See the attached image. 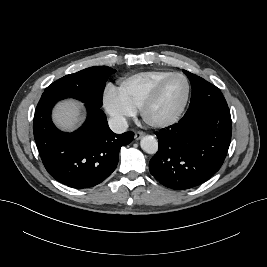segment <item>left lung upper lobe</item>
<instances>
[{
    "mask_svg": "<svg viewBox=\"0 0 267 267\" xmlns=\"http://www.w3.org/2000/svg\"><path fill=\"white\" fill-rule=\"evenodd\" d=\"M183 72L188 76L192 84V96L191 99H200L206 95L212 96L213 108H219L224 105H227L226 100L224 99L220 90L213 84L207 82L203 78L192 74L186 70Z\"/></svg>",
    "mask_w": 267,
    "mask_h": 267,
    "instance_id": "left-lung-upper-lobe-1",
    "label": "left lung upper lobe"
}]
</instances>
